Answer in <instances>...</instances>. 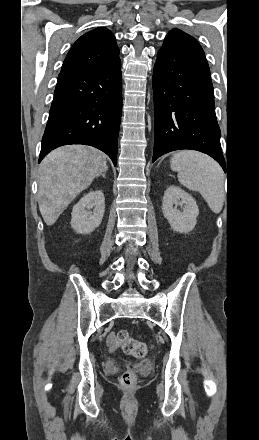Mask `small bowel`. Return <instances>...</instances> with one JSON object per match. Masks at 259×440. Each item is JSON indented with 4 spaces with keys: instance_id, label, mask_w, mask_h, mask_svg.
<instances>
[{
    "instance_id": "small-bowel-1",
    "label": "small bowel",
    "mask_w": 259,
    "mask_h": 440,
    "mask_svg": "<svg viewBox=\"0 0 259 440\" xmlns=\"http://www.w3.org/2000/svg\"><path fill=\"white\" fill-rule=\"evenodd\" d=\"M106 345L111 349L114 350L118 347L116 335L114 333H111L106 338Z\"/></svg>"
}]
</instances>
